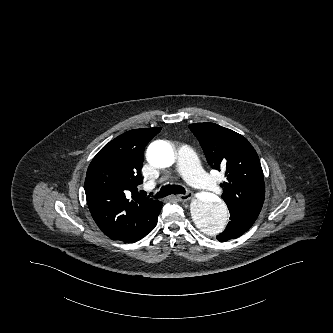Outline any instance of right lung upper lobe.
I'll return each mask as SVG.
<instances>
[{
	"mask_svg": "<svg viewBox=\"0 0 333 333\" xmlns=\"http://www.w3.org/2000/svg\"><path fill=\"white\" fill-rule=\"evenodd\" d=\"M161 128L130 130L105 145L91 161L85 193L91 215L101 231L120 240L157 200L137 192L142 183L143 152Z\"/></svg>",
	"mask_w": 333,
	"mask_h": 333,
	"instance_id": "1",
	"label": "right lung upper lobe"
}]
</instances>
